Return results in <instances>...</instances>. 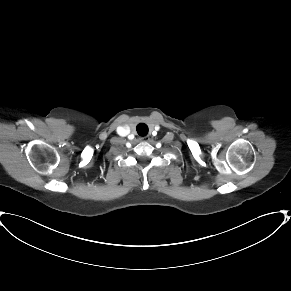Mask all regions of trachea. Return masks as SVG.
Wrapping results in <instances>:
<instances>
[{"instance_id":"trachea-1","label":"trachea","mask_w":291,"mask_h":291,"mask_svg":"<svg viewBox=\"0 0 291 291\" xmlns=\"http://www.w3.org/2000/svg\"><path fill=\"white\" fill-rule=\"evenodd\" d=\"M137 132L140 136H146L148 133V126L144 123L137 125Z\"/></svg>"}]
</instances>
